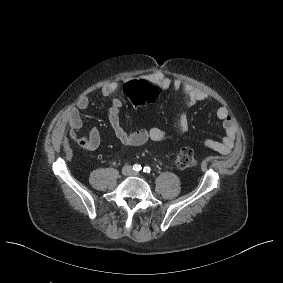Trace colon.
<instances>
[{
    "mask_svg": "<svg viewBox=\"0 0 283 283\" xmlns=\"http://www.w3.org/2000/svg\"><path fill=\"white\" fill-rule=\"evenodd\" d=\"M124 93L134 106L152 103L159 97V89L144 80L128 82L124 87ZM71 135L80 146H87L86 137L82 136L79 132L72 130ZM174 162L180 169L191 168L196 165L195 152L191 148H183L175 156Z\"/></svg>",
    "mask_w": 283,
    "mask_h": 283,
    "instance_id": "colon-1",
    "label": "colon"
}]
</instances>
